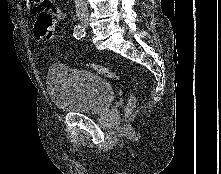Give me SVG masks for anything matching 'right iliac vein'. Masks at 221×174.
<instances>
[{"label": "right iliac vein", "instance_id": "obj_1", "mask_svg": "<svg viewBox=\"0 0 221 174\" xmlns=\"http://www.w3.org/2000/svg\"><path fill=\"white\" fill-rule=\"evenodd\" d=\"M81 24H82L83 26H87V25H88V20H87V19H82V20H81Z\"/></svg>", "mask_w": 221, "mask_h": 174}]
</instances>
